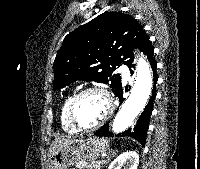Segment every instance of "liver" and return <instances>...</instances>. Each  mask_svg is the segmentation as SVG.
Listing matches in <instances>:
<instances>
[{
  "instance_id": "1",
  "label": "liver",
  "mask_w": 200,
  "mask_h": 169,
  "mask_svg": "<svg viewBox=\"0 0 200 169\" xmlns=\"http://www.w3.org/2000/svg\"><path fill=\"white\" fill-rule=\"evenodd\" d=\"M79 140L78 139H71V138H56L51 146H50V156L58 149L63 146L71 145L74 143H77Z\"/></svg>"
}]
</instances>
